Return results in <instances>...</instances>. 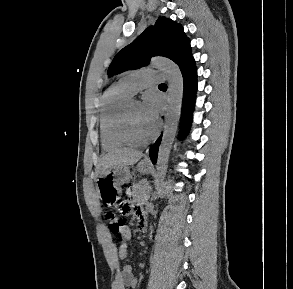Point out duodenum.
I'll list each match as a JSON object with an SVG mask.
<instances>
[{
    "mask_svg": "<svg viewBox=\"0 0 293 289\" xmlns=\"http://www.w3.org/2000/svg\"><path fill=\"white\" fill-rule=\"evenodd\" d=\"M140 225H141V228L144 232H146L148 230V223L146 222L145 219H143L141 222H140Z\"/></svg>",
    "mask_w": 293,
    "mask_h": 289,
    "instance_id": "410a0bca",
    "label": "duodenum"
}]
</instances>
